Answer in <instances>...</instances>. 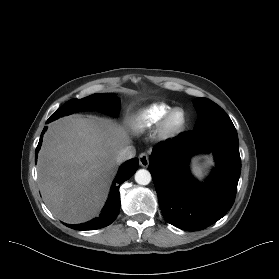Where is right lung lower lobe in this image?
<instances>
[{
  "mask_svg": "<svg viewBox=\"0 0 279 279\" xmlns=\"http://www.w3.org/2000/svg\"><path fill=\"white\" fill-rule=\"evenodd\" d=\"M45 130L46 128L42 131L38 146L36 148L35 161L37 160V154L41 147L42 137L44 135ZM138 165H139L138 159L133 158L125 162L120 167L118 174L113 182L108 201L103 211L99 215V217L83 224H78V225L65 224V225L76 230H94V229H99L110 225L117 217L120 209L119 187L124 181L128 180L136 172V170L138 169Z\"/></svg>",
  "mask_w": 279,
  "mask_h": 279,
  "instance_id": "right-lung-lower-lobe-1",
  "label": "right lung lower lobe"
}]
</instances>
